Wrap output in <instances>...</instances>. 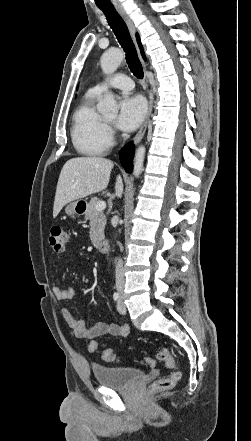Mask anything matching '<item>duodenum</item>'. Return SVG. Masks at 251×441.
I'll list each match as a JSON object with an SVG mask.
<instances>
[{
  "label": "duodenum",
  "instance_id": "duodenum-1",
  "mask_svg": "<svg viewBox=\"0 0 251 441\" xmlns=\"http://www.w3.org/2000/svg\"><path fill=\"white\" fill-rule=\"evenodd\" d=\"M97 248L101 253H108L109 242L107 240H101L97 243Z\"/></svg>",
  "mask_w": 251,
  "mask_h": 441
}]
</instances>
